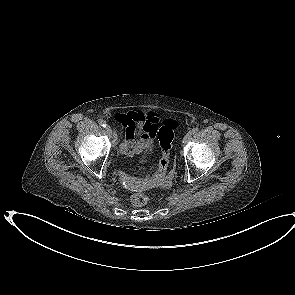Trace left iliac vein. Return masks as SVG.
I'll return each mask as SVG.
<instances>
[{
	"label": "left iliac vein",
	"instance_id": "left-iliac-vein-1",
	"mask_svg": "<svg viewBox=\"0 0 295 295\" xmlns=\"http://www.w3.org/2000/svg\"><path fill=\"white\" fill-rule=\"evenodd\" d=\"M190 139H191V134H190V133H187V134L184 136L182 142H183L184 144H186Z\"/></svg>",
	"mask_w": 295,
	"mask_h": 295
}]
</instances>
